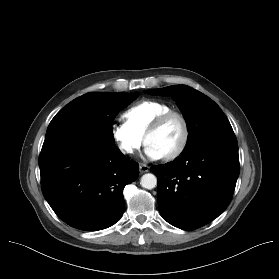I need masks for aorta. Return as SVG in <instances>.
<instances>
[{
	"instance_id": "1",
	"label": "aorta",
	"mask_w": 279,
	"mask_h": 279,
	"mask_svg": "<svg viewBox=\"0 0 279 279\" xmlns=\"http://www.w3.org/2000/svg\"><path fill=\"white\" fill-rule=\"evenodd\" d=\"M140 184L143 188L151 190L157 186V178L151 173L144 174L141 177Z\"/></svg>"
}]
</instances>
